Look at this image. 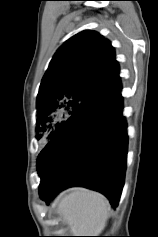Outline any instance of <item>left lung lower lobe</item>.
Returning <instances> with one entry per match:
<instances>
[{
  "instance_id": "0a47b994",
  "label": "left lung lower lobe",
  "mask_w": 158,
  "mask_h": 237,
  "mask_svg": "<svg viewBox=\"0 0 158 237\" xmlns=\"http://www.w3.org/2000/svg\"><path fill=\"white\" fill-rule=\"evenodd\" d=\"M121 84L99 93L72 114L37 158L40 198L82 186L103 193L113 207L122 192L128 136Z\"/></svg>"
}]
</instances>
